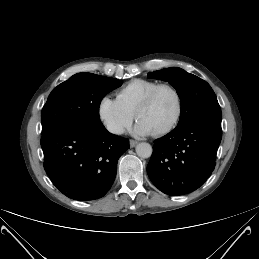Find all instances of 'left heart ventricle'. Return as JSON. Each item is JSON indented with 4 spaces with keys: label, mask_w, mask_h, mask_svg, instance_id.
I'll return each mask as SVG.
<instances>
[{
    "label": "left heart ventricle",
    "mask_w": 259,
    "mask_h": 259,
    "mask_svg": "<svg viewBox=\"0 0 259 259\" xmlns=\"http://www.w3.org/2000/svg\"><path fill=\"white\" fill-rule=\"evenodd\" d=\"M177 103L174 94L167 90H161L155 97L152 105L142 114L140 122L145 124L151 132L166 127L175 117Z\"/></svg>",
    "instance_id": "obj_1"
}]
</instances>
